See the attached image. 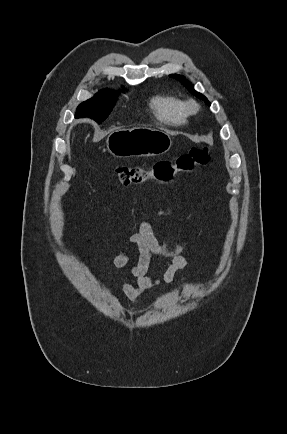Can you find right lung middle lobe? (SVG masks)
Listing matches in <instances>:
<instances>
[{
  "mask_svg": "<svg viewBox=\"0 0 287 434\" xmlns=\"http://www.w3.org/2000/svg\"><path fill=\"white\" fill-rule=\"evenodd\" d=\"M116 101V94L107 89L99 91L93 98L81 103L76 117H90L101 123L111 112Z\"/></svg>",
  "mask_w": 287,
  "mask_h": 434,
  "instance_id": "right-lung-middle-lobe-1",
  "label": "right lung middle lobe"
}]
</instances>
